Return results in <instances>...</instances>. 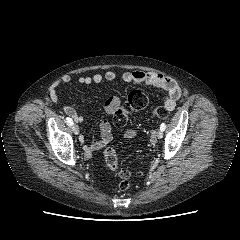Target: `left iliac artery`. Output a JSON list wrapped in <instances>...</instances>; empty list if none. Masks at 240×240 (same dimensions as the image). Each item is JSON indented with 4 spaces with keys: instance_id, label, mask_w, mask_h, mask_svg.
Here are the masks:
<instances>
[{
    "instance_id": "obj_1",
    "label": "left iliac artery",
    "mask_w": 240,
    "mask_h": 240,
    "mask_svg": "<svg viewBox=\"0 0 240 240\" xmlns=\"http://www.w3.org/2000/svg\"><path fill=\"white\" fill-rule=\"evenodd\" d=\"M160 129H161L162 131H164V130L166 129L165 123H162V124L160 125Z\"/></svg>"
}]
</instances>
